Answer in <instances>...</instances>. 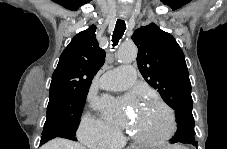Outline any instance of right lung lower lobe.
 <instances>
[{
    "instance_id": "obj_1",
    "label": "right lung lower lobe",
    "mask_w": 227,
    "mask_h": 149,
    "mask_svg": "<svg viewBox=\"0 0 227 149\" xmlns=\"http://www.w3.org/2000/svg\"><path fill=\"white\" fill-rule=\"evenodd\" d=\"M56 136L55 135H46V136H43L42 139H41V142H40V145H43L44 143H46L47 141L55 138ZM61 138H66V139H70V140H76L75 136H62Z\"/></svg>"
}]
</instances>
